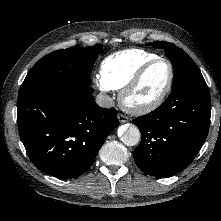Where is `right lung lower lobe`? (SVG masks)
Listing matches in <instances>:
<instances>
[{
    "label": "right lung lower lobe",
    "mask_w": 221,
    "mask_h": 221,
    "mask_svg": "<svg viewBox=\"0 0 221 221\" xmlns=\"http://www.w3.org/2000/svg\"><path fill=\"white\" fill-rule=\"evenodd\" d=\"M93 91L69 86L19 93L20 138L40 171L57 178L82 175L119 125L117 110L98 106Z\"/></svg>",
    "instance_id": "obj_1"
}]
</instances>
